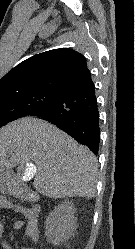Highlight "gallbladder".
<instances>
[{"label":"gallbladder","instance_id":"1","mask_svg":"<svg viewBox=\"0 0 135 249\" xmlns=\"http://www.w3.org/2000/svg\"><path fill=\"white\" fill-rule=\"evenodd\" d=\"M20 169H24V167H20ZM0 186H1V184H0Z\"/></svg>","mask_w":135,"mask_h":249}]
</instances>
